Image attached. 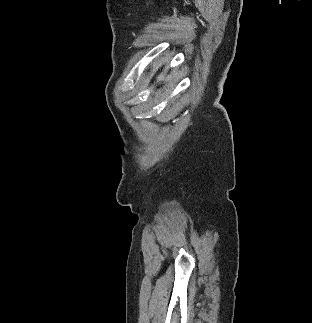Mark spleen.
<instances>
[{
	"instance_id": "1",
	"label": "spleen",
	"mask_w": 312,
	"mask_h": 323,
	"mask_svg": "<svg viewBox=\"0 0 312 323\" xmlns=\"http://www.w3.org/2000/svg\"><path fill=\"white\" fill-rule=\"evenodd\" d=\"M159 80H161V82L162 80H165L164 76H159Z\"/></svg>"
}]
</instances>
